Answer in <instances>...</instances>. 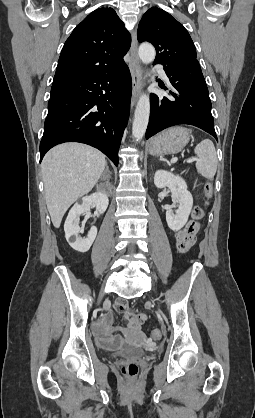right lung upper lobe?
<instances>
[{"label":"right lung upper lobe","mask_w":255,"mask_h":418,"mask_svg":"<svg viewBox=\"0 0 255 418\" xmlns=\"http://www.w3.org/2000/svg\"><path fill=\"white\" fill-rule=\"evenodd\" d=\"M131 37L112 8H99L76 26L61 51L53 82L108 73L126 63Z\"/></svg>","instance_id":"1"}]
</instances>
